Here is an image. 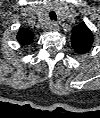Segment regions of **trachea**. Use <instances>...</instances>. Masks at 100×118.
<instances>
[{"label": "trachea", "mask_w": 100, "mask_h": 118, "mask_svg": "<svg viewBox=\"0 0 100 118\" xmlns=\"http://www.w3.org/2000/svg\"><path fill=\"white\" fill-rule=\"evenodd\" d=\"M49 17H50V19L51 20H56V18H57V16H56V13L54 12V11H51L50 13H49Z\"/></svg>", "instance_id": "1"}]
</instances>
